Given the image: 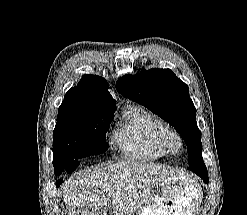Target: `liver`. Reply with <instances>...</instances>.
I'll return each mask as SVG.
<instances>
[{"mask_svg":"<svg viewBox=\"0 0 247 215\" xmlns=\"http://www.w3.org/2000/svg\"><path fill=\"white\" fill-rule=\"evenodd\" d=\"M177 175L183 174L169 166L124 161L77 173L60 194L67 215H108L110 200L114 215H132L154 188Z\"/></svg>","mask_w":247,"mask_h":215,"instance_id":"obj_1","label":"liver"}]
</instances>
